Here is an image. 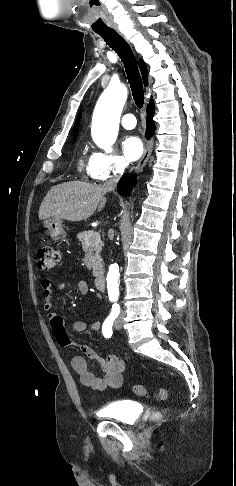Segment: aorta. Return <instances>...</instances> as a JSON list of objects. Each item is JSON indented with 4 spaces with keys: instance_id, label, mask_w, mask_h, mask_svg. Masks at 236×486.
<instances>
[{
    "instance_id": "1",
    "label": "aorta",
    "mask_w": 236,
    "mask_h": 486,
    "mask_svg": "<svg viewBox=\"0 0 236 486\" xmlns=\"http://www.w3.org/2000/svg\"><path fill=\"white\" fill-rule=\"evenodd\" d=\"M126 99L127 88L122 84L110 83L96 104L92 119V138L106 152L112 151L116 141L119 119ZM107 289L110 297L119 295L118 264L109 267Z\"/></svg>"
}]
</instances>
